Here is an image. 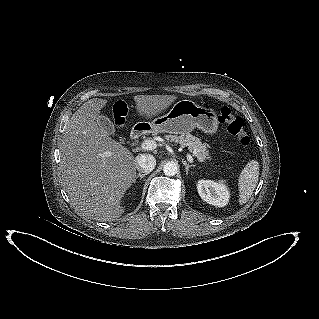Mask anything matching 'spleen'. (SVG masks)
<instances>
[{"label":"spleen","instance_id":"3e777b00","mask_svg":"<svg viewBox=\"0 0 319 319\" xmlns=\"http://www.w3.org/2000/svg\"><path fill=\"white\" fill-rule=\"evenodd\" d=\"M258 178L259 163L257 160H251L246 164L238 179L240 205L248 202L256 188Z\"/></svg>","mask_w":319,"mask_h":319}]
</instances>
